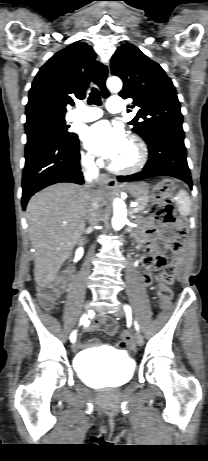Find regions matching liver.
<instances>
[{"mask_svg":"<svg viewBox=\"0 0 208 461\" xmlns=\"http://www.w3.org/2000/svg\"><path fill=\"white\" fill-rule=\"evenodd\" d=\"M102 201L105 189H98ZM88 189L69 183L49 186L35 194L26 209L29 236L35 249L34 278L50 283L85 230Z\"/></svg>","mask_w":208,"mask_h":461,"instance_id":"obj_1","label":"liver"}]
</instances>
